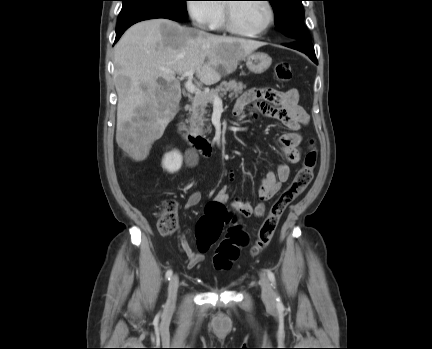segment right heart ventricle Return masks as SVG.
<instances>
[{
  "mask_svg": "<svg viewBox=\"0 0 432 349\" xmlns=\"http://www.w3.org/2000/svg\"><path fill=\"white\" fill-rule=\"evenodd\" d=\"M225 27V6L220 4V13L215 21V29H223Z\"/></svg>",
  "mask_w": 432,
  "mask_h": 349,
  "instance_id": "obj_1",
  "label": "right heart ventricle"
}]
</instances>
